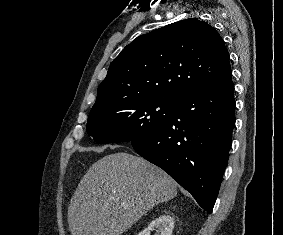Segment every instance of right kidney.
I'll list each match as a JSON object with an SVG mask.
<instances>
[{"instance_id": "obj_1", "label": "right kidney", "mask_w": 283, "mask_h": 235, "mask_svg": "<svg viewBox=\"0 0 283 235\" xmlns=\"http://www.w3.org/2000/svg\"><path fill=\"white\" fill-rule=\"evenodd\" d=\"M157 228L160 235H172L174 220L171 216L164 214L153 220L147 228L138 235H150V232Z\"/></svg>"}]
</instances>
